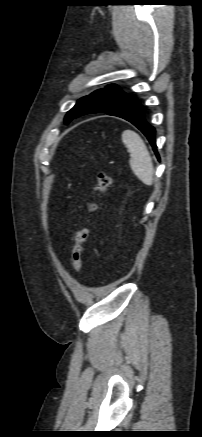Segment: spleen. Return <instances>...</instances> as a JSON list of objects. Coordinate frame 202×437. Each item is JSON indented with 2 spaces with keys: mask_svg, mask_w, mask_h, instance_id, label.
<instances>
[{
  "mask_svg": "<svg viewBox=\"0 0 202 437\" xmlns=\"http://www.w3.org/2000/svg\"><path fill=\"white\" fill-rule=\"evenodd\" d=\"M122 142L130 152L129 164L133 173L146 185H152L154 167L152 158L140 136L131 130L122 133Z\"/></svg>",
  "mask_w": 202,
  "mask_h": 437,
  "instance_id": "3e777b00",
  "label": "spleen"
}]
</instances>
